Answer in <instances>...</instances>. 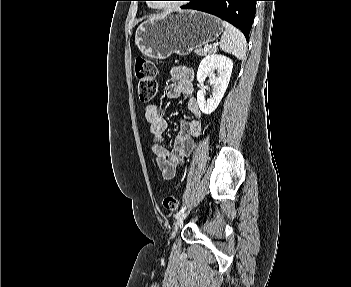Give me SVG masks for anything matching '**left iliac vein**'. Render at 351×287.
<instances>
[{"label":"left iliac vein","mask_w":351,"mask_h":287,"mask_svg":"<svg viewBox=\"0 0 351 287\" xmlns=\"http://www.w3.org/2000/svg\"><path fill=\"white\" fill-rule=\"evenodd\" d=\"M188 212H189V210H188V211H184V212L177 218V221H176L175 226H174V228H173V231H172V233H171V238H174V237H175V234H176V232H177L179 226L182 225L183 220H184L185 217L187 216V213H188Z\"/></svg>","instance_id":"left-iliac-vein-1"}]
</instances>
